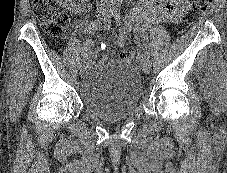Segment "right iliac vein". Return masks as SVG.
Listing matches in <instances>:
<instances>
[{"label":"right iliac vein","mask_w":227,"mask_h":173,"mask_svg":"<svg viewBox=\"0 0 227 173\" xmlns=\"http://www.w3.org/2000/svg\"><path fill=\"white\" fill-rule=\"evenodd\" d=\"M109 14H110L109 11H107V12L106 11H101L100 12V16H103L104 18L107 17ZM86 68H87L86 63L85 62L82 63L80 65V67H79V74L82 75L85 72Z\"/></svg>","instance_id":"right-iliac-vein-1"}]
</instances>
